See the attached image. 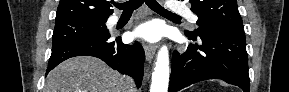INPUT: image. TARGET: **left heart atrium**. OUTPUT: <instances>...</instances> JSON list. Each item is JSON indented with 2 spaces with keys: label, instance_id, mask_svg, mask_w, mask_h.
<instances>
[{
  "label": "left heart atrium",
  "instance_id": "left-heart-atrium-1",
  "mask_svg": "<svg viewBox=\"0 0 289 92\" xmlns=\"http://www.w3.org/2000/svg\"><path fill=\"white\" fill-rule=\"evenodd\" d=\"M133 37L148 42H156L162 35L160 24L154 21L144 22L138 25L133 31Z\"/></svg>",
  "mask_w": 289,
  "mask_h": 92
}]
</instances>
